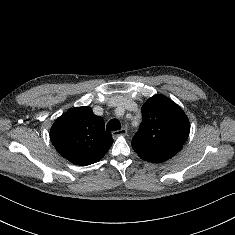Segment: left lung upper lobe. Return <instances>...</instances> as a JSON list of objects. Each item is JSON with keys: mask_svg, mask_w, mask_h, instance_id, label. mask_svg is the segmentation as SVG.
I'll use <instances>...</instances> for the list:
<instances>
[{"mask_svg": "<svg viewBox=\"0 0 235 235\" xmlns=\"http://www.w3.org/2000/svg\"><path fill=\"white\" fill-rule=\"evenodd\" d=\"M190 132L184 111L171 99L155 95L142 106V123L132 140L143 160H168L183 147Z\"/></svg>", "mask_w": 235, "mask_h": 235, "instance_id": "left-lung-upper-lobe-1", "label": "left lung upper lobe"}]
</instances>
